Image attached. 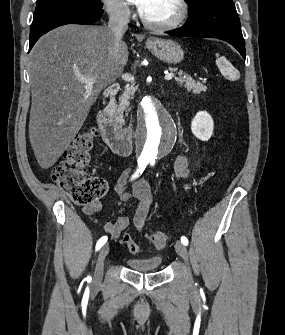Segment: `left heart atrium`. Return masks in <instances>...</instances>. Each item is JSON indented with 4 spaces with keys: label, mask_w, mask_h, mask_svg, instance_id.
<instances>
[{
    "label": "left heart atrium",
    "mask_w": 285,
    "mask_h": 335,
    "mask_svg": "<svg viewBox=\"0 0 285 335\" xmlns=\"http://www.w3.org/2000/svg\"><path fill=\"white\" fill-rule=\"evenodd\" d=\"M137 7L139 15L144 18L149 10L150 1H133Z\"/></svg>",
    "instance_id": "39dd6f15"
}]
</instances>
